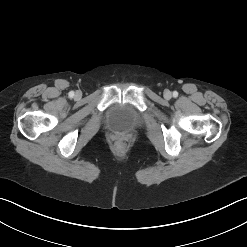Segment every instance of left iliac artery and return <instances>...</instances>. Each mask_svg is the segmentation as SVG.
<instances>
[{
    "label": "left iliac artery",
    "mask_w": 247,
    "mask_h": 247,
    "mask_svg": "<svg viewBox=\"0 0 247 247\" xmlns=\"http://www.w3.org/2000/svg\"><path fill=\"white\" fill-rule=\"evenodd\" d=\"M177 96H178V92H177V91H174V92H173V97L176 98Z\"/></svg>",
    "instance_id": "obj_1"
}]
</instances>
